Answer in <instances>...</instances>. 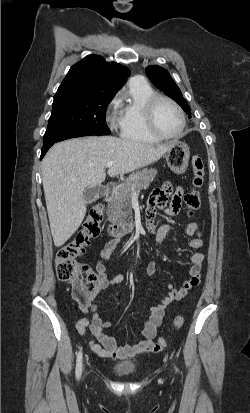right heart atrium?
Listing matches in <instances>:
<instances>
[{"label": "right heart atrium", "instance_id": "obj_1", "mask_svg": "<svg viewBox=\"0 0 250 413\" xmlns=\"http://www.w3.org/2000/svg\"><path fill=\"white\" fill-rule=\"evenodd\" d=\"M119 106L120 102L117 96L112 98V100L107 105L105 119L111 130H116L119 127Z\"/></svg>", "mask_w": 250, "mask_h": 413}]
</instances>
